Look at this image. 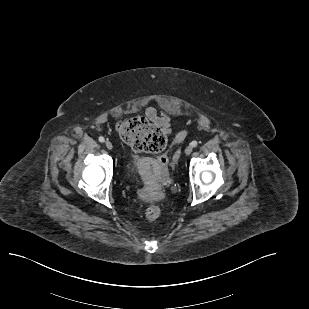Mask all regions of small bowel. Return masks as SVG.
<instances>
[{
    "label": "small bowel",
    "instance_id": "c3829d8e",
    "mask_svg": "<svg viewBox=\"0 0 309 309\" xmlns=\"http://www.w3.org/2000/svg\"><path fill=\"white\" fill-rule=\"evenodd\" d=\"M145 116L148 121L154 124L157 127L163 129L164 132L170 133L171 132V119L170 116L164 112H158V110L153 106H148L145 109Z\"/></svg>",
    "mask_w": 309,
    "mask_h": 309
}]
</instances>
